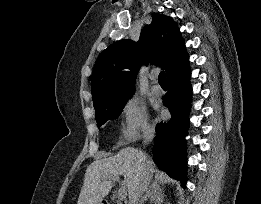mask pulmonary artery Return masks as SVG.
<instances>
[{
    "instance_id": "e3ab8cb5",
    "label": "pulmonary artery",
    "mask_w": 261,
    "mask_h": 204,
    "mask_svg": "<svg viewBox=\"0 0 261 204\" xmlns=\"http://www.w3.org/2000/svg\"><path fill=\"white\" fill-rule=\"evenodd\" d=\"M152 79H153V81H154V85L151 87L152 92H153L155 95H161L162 92H163V90H162V88L160 87V85H158V84L156 83L157 77H156V76H153Z\"/></svg>"
}]
</instances>
